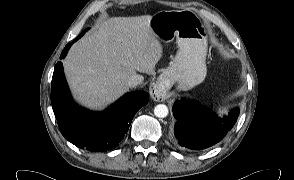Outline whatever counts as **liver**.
<instances>
[{
  "instance_id": "1",
  "label": "liver",
  "mask_w": 294,
  "mask_h": 180,
  "mask_svg": "<svg viewBox=\"0 0 294 180\" xmlns=\"http://www.w3.org/2000/svg\"><path fill=\"white\" fill-rule=\"evenodd\" d=\"M151 18H109L71 47L64 72L81 104L103 109L129 90L132 75L153 72L162 46L150 27Z\"/></svg>"
}]
</instances>
